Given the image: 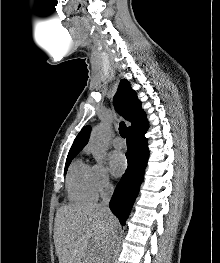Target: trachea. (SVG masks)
Instances as JSON below:
<instances>
[{"mask_svg":"<svg viewBox=\"0 0 220 263\" xmlns=\"http://www.w3.org/2000/svg\"><path fill=\"white\" fill-rule=\"evenodd\" d=\"M119 133L121 137L125 138L127 133V128L124 122H121L119 125Z\"/></svg>","mask_w":220,"mask_h":263,"instance_id":"obj_1","label":"trachea"}]
</instances>
